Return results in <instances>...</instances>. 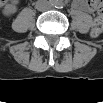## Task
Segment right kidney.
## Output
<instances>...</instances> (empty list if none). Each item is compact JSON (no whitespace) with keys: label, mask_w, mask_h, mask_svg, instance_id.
<instances>
[{"label":"right kidney","mask_w":103,"mask_h":103,"mask_svg":"<svg viewBox=\"0 0 103 103\" xmlns=\"http://www.w3.org/2000/svg\"><path fill=\"white\" fill-rule=\"evenodd\" d=\"M16 11H17L16 4L10 3V4H7V5L4 7V9H3V14H4L5 16H10V15L14 14Z\"/></svg>","instance_id":"1"}]
</instances>
